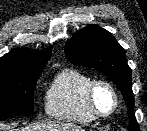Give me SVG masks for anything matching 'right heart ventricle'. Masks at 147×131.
I'll return each instance as SVG.
<instances>
[{
  "instance_id": "e07e8e85",
  "label": "right heart ventricle",
  "mask_w": 147,
  "mask_h": 131,
  "mask_svg": "<svg viewBox=\"0 0 147 131\" xmlns=\"http://www.w3.org/2000/svg\"><path fill=\"white\" fill-rule=\"evenodd\" d=\"M93 78L75 69L60 70L50 82L45 94V111L53 119L90 124L96 120L86 104V90Z\"/></svg>"
}]
</instances>
